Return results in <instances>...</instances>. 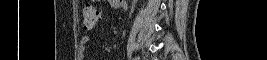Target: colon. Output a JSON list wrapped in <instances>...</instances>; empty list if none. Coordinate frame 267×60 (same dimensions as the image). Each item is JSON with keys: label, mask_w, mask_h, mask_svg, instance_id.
Masks as SVG:
<instances>
[{"label": "colon", "mask_w": 267, "mask_h": 60, "mask_svg": "<svg viewBox=\"0 0 267 60\" xmlns=\"http://www.w3.org/2000/svg\"><path fill=\"white\" fill-rule=\"evenodd\" d=\"M83 24L90 29L102 19V8L94 3L87 2L83 7Z\"/></svg>", "instance_id": "5ec220e1"}]
</instances>
